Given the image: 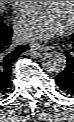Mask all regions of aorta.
<instances>
[{"label": "aorta", "mask_w": 74, "mask_h": 122, "mask_svg": "<svg viewBox=\"0 0 74 122\" xmlns=\"http://www.w3.org/2000/svg\"><path fill=\"white\" fill-rule=\"evenodd\" d=\"M44 65L49 72L59 74L67 65L66 56L58 51H51L43 58Z\"/></svg>", "instance_id": "762f6f07"}]
</instances>
